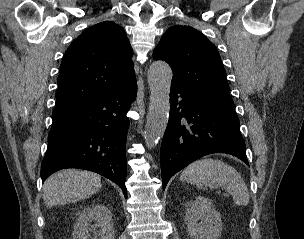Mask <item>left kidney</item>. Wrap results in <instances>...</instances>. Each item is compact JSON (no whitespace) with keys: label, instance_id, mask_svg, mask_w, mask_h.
Instances as JSON below:
<instances>
[{"label":"left kidney","instance_id":"5707ae66","mask_svg":"<svg viewBox=\"0 0 304 239\" xmlns=\"http://www.w3.org/2000/svg\"><path fill=\"white\" fill-rule=\"evenodd\" d=\"M185 222L193 239H217L222 231L220 214L208 199L201 196L188 204Z\"/></svg>","mask_w":304,"mask_h":239}]
</instances>
